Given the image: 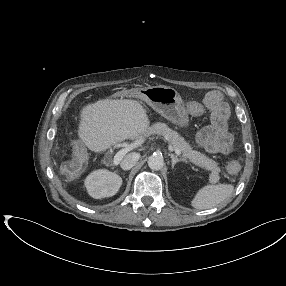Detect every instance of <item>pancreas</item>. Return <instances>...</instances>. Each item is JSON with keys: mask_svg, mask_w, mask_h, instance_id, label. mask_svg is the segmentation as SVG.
<instances>
[{"mask_svg": "<svg viewBox=\"0 0 286 286\" xmlns=\"http://www.w3.org/2000/svg\"><path fill=\"white\" fill-rule=\"evenodd\" d=\"M144 134L152 135L157 134L163 136L174 149H179L184 158L189 159L193 164L211 171L209 181L217 183L220 179L219 172L221 171L218 164L209 159L205 154L192 149V147L181 137L176 131H173L164 123H155Z\"/></svg>", "mask_w": 286, "mask_h": 286, "instance_id": "pancreas-1", "label": "pancreas"}]
</instances>
